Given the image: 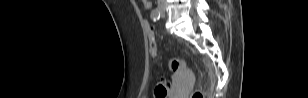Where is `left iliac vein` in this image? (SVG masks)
<instances>
[{
  "instance_id": "obj_1",
  "label": "left iliac vein",
  "mask_w": 308,
  "mask_h": 98,
  "mask_svg": "<svg viewBox=\"0 0 308 98\" xmlns=\"http://www.w3.org/2000/svg\"><path fill=\"white\" fill-rule=\"evenodd\" d=\"M161 13H162V16H165V9L164 8L162 9Z\"/></svg>"
}]
</instances>
